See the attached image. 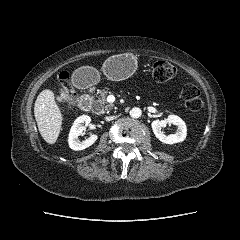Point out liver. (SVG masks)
<instances>
[{
    "label": "liver",
    "mask_w": 240,
    "mask_h": 240,
    "mask_svg": "<svg viewBox=\"0 0 240 240\" xmlns=\"http://www.w3.org/2000/svg\"><path fill=\"white\" fill-rule=\"evenodd\" d=\"M34 116L43 139L49 144H54L60 134L63 118L51 90L45 89L38 95L34 105Z\"/></svg>",
    "instance_id": "obj_1"
}]
</instances>
